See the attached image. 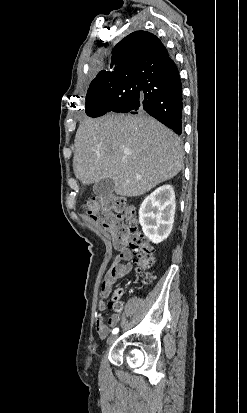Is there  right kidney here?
I'll return each mask as SVG.
<instances>
[{
    "label": "right kidney",
    "instance_id": "right-kidney-1",
    "mask_svg": "<svg viewBox=\"0 0 247 413\" xmlns=\"http://www.w3.org/2000/svg\"><path fill=\"white\" fill-rule=\"evenodd\" d=\"M175 215V192L171 184H163L144 198L139 209V223L145 237L162 243L169 237Z\"/></svg>",
    "mask_w": 247,
    "mask_h": 413
}]
</instances>
